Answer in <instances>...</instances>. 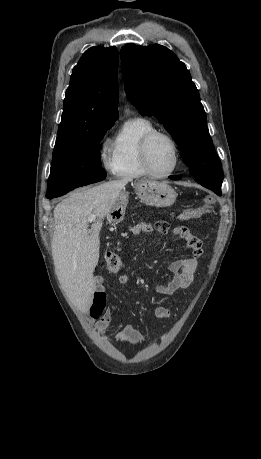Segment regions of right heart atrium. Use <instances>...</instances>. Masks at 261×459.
I'll return each mask as SVG.
<instances>
[{
    "instance_id": "d8ad5b80",
    "label": "right heart atrium",
    "mask_w": 261,
    "mask_h": 459,
    "mask_svg": "<svg viewBox=\"0 0 261 459\" xmlns=\"http://www.w3.org/2000/svg\"><path fill=\"white\" fill-rule=\"evenodd\" d=\"M102 163H103V166L105 167L106 170L114 173L115 164H114V160L112 158V155L109 152L105 151L102 154Z\"/></svg>"
}]
</instances>
